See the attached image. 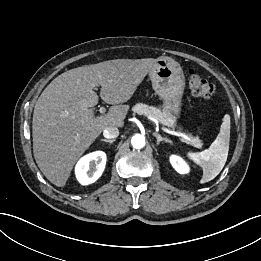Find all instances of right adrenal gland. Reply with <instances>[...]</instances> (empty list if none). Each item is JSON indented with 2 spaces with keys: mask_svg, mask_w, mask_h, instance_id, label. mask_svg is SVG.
Masks as SVG:
<instances>
[{
  "mask_svg": "<svg viewBox=\"0 0 261 261\" xmlns=\"http://www.w3.org/2000/svg\"><path fill=\"white\" fill-rule=\"evenodd\" d=\"M101 141H104V142H107V143H113L114 142V140H108V139H101Z\"/></svg>",
  "mask_w": 261,
  "mask_h": 261,
  "instance_id": "right-adrenal-gland-1",
  "label": "right adrenal gland"
}]
</instances>
